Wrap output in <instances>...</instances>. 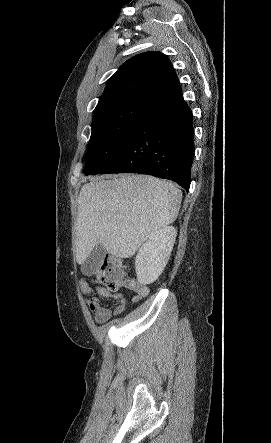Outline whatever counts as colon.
<instances>
[{
    "label": "colon",
    "mask_w": 271,
    "mask_h": 443,
    "mask_svg": "<svg viewBox=\"0 0 271 443\" xmlns=\"http://www.w3.org/2000/svg\"><path fill=\"white\" fill-rule=\"evenodd\" d=\"M97 280L110 291L131 288L132 282L121 259L111 256L103 258L96 271Z\"/></svg>",
    "instance_id": "obj_1"
}]
</instances>
